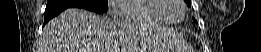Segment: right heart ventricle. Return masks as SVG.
<instances>
[{"label":"right heart ventricle","mask_w":261,"mask_h":52,"mask_svg":"<svg viewBox=\"0 0 261 52\" xmlns=\"http://www.w3.org/2000/svg\"><path fill=\"white\" fill-rule=\"evenodd\" d=\"M163 0H126L116 8L120 20L139 24H168L162 15Z\"/></svg>","instance_id":"e07e8e85"}]
</instances>
